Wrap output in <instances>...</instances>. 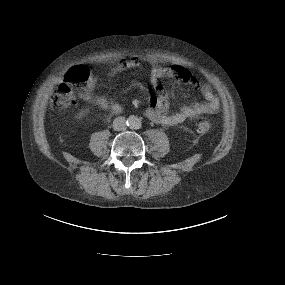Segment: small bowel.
I'll return each instance as SVG.
<instances>
[{"mask_svg":"<svg viewBox=\"0 0 285 285\" xmlns=\"http://www.w3.org/2000/svg\"><path fill=\"white\" fill-rule=\"evenodd\" d=\"M146 61L152 64L151 75L152 79L156 82L157 90V93L152 96L151 105L149 108H147L145 113L147 118H149L151 121L165 126H173L178 125L187 119L197 118L205 114H213L219 110L220 104L218 98L213 94L211 87L205 84L199 86L200 93L204 99L203 102H197L191 106L184 107L175 113L169 114L168 95L163 92L157 84V80L165 74V70L162 67L156 65L154 60L151 58L146 59ZM132 65L133 62H122L116 65L113 71L120 72L128 67H131ZM173 72L182 81L195 84L194 78L185 68H183V72L181 73H177L173 68ZM94 89L95 81L91 80L86 86L82 87L79 90L80 98L87 102H95V104L102 110H106L111 113L121 112L122 106L119 103L114 102L105 96L94 97Z\"/></svg>","mask_w":285,"mask_h":285,"instance_id":"c3829d8e","label":"small bowel"}]
</instances>
